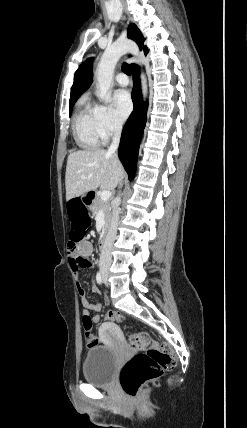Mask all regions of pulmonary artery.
Returning a JSON list of instances; mask_svg holds the SVG:
<instances>
[{
	"instance_id": "e3ab8cb5",
	"label": "pulmonary artery",
	"mask_w": 247,
	"mask_h": 428,
	"mask_svg": "<svg viewBox=\"0 0 247 428\" xmlns=\"http://www.w3.org/2000/svg\"><path fill=\"white\" fill-rule=\"evenodd\" d=\"M116 82L120 86H127L129 84V79L124 73H118L115 77Z\"/></svg>"
}]
</instances>
